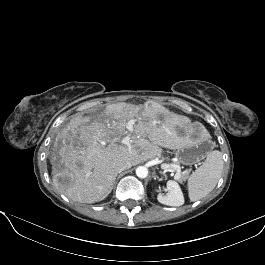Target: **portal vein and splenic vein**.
<instances>
[{
    "instance_id": "obj_1",
    "label": "portal vein and splenic vein",
    "mask_w": 265,
    "mask_h": 265,
    "mask_svg": "<svg viewBox=\"0 0 265 265\" xmlns=\"http://www.w3.org/2000/svg\"><path fill=\"white\" fill-rule=\"evenodd\" d=\"M126 129H127V134L123 137L122 139V143L125 145H128L131 141V132L133 131L134 127H133V123L129 122L126 125ZM161 168L164 170L173 168L174 170H177V173L175 174V178H179L180 177V167L176 164H167L164 163L161 165Z\"/></svg>"
}]
</instances>
